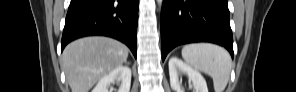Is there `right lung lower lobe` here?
<instances>
[{"label": "right lung lower lobe", "instance_id": "1", "mask_svg": "<svg viewBox=\"0 0 296 92\" xmlns=\"http://www.w3.org/2000/svg\"><path fill=\"white\" fill-rule=\"evenodd\" d=\"M139 0H71L62 35V50L71 41L90 35L113 37L136 57Z\"/></svg>", "mask_w": 296, "mask_h": 92}]
</instances>
